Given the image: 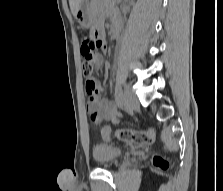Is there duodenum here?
<instances>
[{
	"mask_svg": "<svg viewBox=\"0 0 223 191\" xmlns=\"http://www.w3.org/2000/svg\"><path fill=\"white\" fill-rule=\"evenodd\" d=\"M113 35L115 37H118L120 35V29L115 28L114 31H113Z\"/></svg>",
	"mask_w": 223,
	"mask_h": 191,
	"instance_id": "1",
	"label": "duodenum"
}]
</instances>
